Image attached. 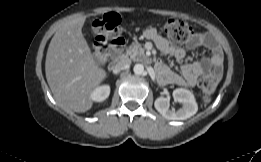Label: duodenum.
Listing matches in <instances>:
<instances>
[{
	"mask_svg": "<svg viewBox=\"0 0 261 162\" xmlns=\"http://www.w3.org/2000/svg\"><path fill=\"white\" fill-rule=\"evenodd\" d=\"M124 42L122 43H113L110 45L109 47V56L114 59V60H118L122 51H123V46H124Z\"/></svg>",
	"mask_w": 261,
	"mask_h": 162,
	"instance_id": "obj_1",
	"label": "duodenum"
}]
</instances>
